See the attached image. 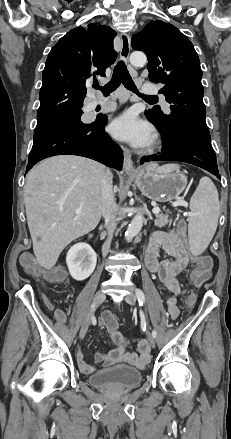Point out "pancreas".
Returning <instances> with one entry per match:
<instances>
[{
	"label": "pancreas",
	"instance_id": "obj_1",
	"mask_svg": "<svg viewBox=\"0 0 231 439\" xmlns=\"http://www.w3.org/2000/svg\"><path fill=\"white\" fill-rule=\"evenodd\" d=\"M170 222L168 214H156L155 226L162 228Z\"/></svg>",
	"mask_w": 231,
	"mask_h": 439
}]
</instances>
